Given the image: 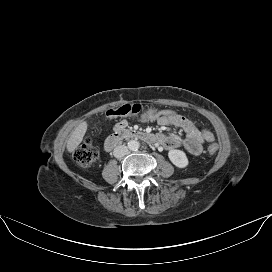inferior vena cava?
<instances>
[{"mask_svg": "<svg viewBox=\"0 0 272 272\" xmlns=\"http://www.w3.org/2000/svg\"><path fill=\"white\" fill-rule=\"evenodd\" d=\"M128 153V148L125 145H118L113 150V155L116 158L124 157Z\"/></svg>", "mask_w": 272, "mask_h": 272, "instance_id": "1", "label": "inferior vena cava"}]
</instances>
